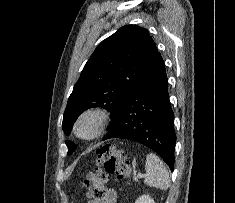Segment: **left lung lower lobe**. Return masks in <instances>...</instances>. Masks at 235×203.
<instances>
[{
    "mask_svg": "<svg viewBox=\"0 0 235 203\" xmlns=\"http://www.w3.org/2000/svg\"><path fill=\"white\" fill-rule=\"evenodd\" d=\"M110 138L129 139L151 148L173 171L174 113L169 101L165 65L159 52L102 140Z\"/></svg>",
    "mask_w": 235,
    "mask_h": 203,
    "instance_id": "left-lung-lower-lobe-1",
    "label": "left lung lower lobe"
}]
</instances>
